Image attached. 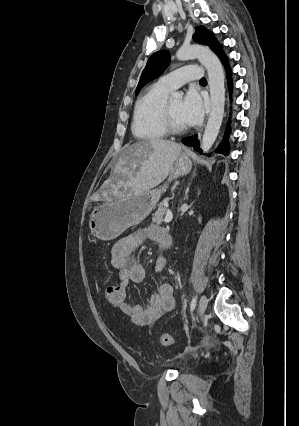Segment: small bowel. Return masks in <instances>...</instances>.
<instances>
[{"label": "small bowel", "instance_id": "c3829d8e", "mask_svg": "<svg viewBox=\"0 0 299 426\" xmlns=\"http://www.w3.org/2000/svg\"><path fill=\"white\" fill-rule=\"evenodd\" d=\"M165 230L151 225L148 228L134 231L118 240L112 247L111 262L118 270V284L126 291L130 282L140 283L145 277L144 267L135 260L134 254L144 242H153L162 245V236ZM167 266V259L160 256L154 263L156 273L162 272ZM175 306L174 289L170 283H161L158 292L151 295L149 304L143 308L139 304L125 301L121 311L132 321L141 326H149L170 312Z\"/></svg>", "mask_w": 299, "mask_h": 426}]
</instances>
